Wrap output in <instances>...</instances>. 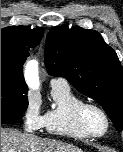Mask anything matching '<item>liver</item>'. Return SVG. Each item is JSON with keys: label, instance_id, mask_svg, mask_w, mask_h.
<instances>
[{"label": "liver", "instance_id": "obj_1", "mask_svg": "<svg viewBox=\"0 0 123 152\" xmlns=\"http://www.w3.org/2000/svg\"><path fill=\"white\" fill-rule=\"evenodd\" d=\"M1 152H82V150L61 141L1 129Z\"/></svg>", "mask_w": 123, "mask_h": 152}]
</instances>
